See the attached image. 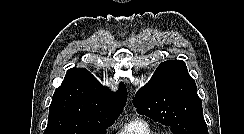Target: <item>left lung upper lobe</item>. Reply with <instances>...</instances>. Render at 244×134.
I'll use <instances>...</instances> for the list:
<instances>
[{"mask_svg":"<svg viewBox=\"0 0 244 134\" xmlns=\"http://www.w3.org/2000/svg\"><path fill=\"white\" fill-rule=\"evenodd\" d=\"M133 104L140 114L171 127L174 134H208L195 81L182 60L162 62Z\"/></svg>","mask_w":244,"mask_h":134,"instance_id":"5c2ea615","label":"left lung upper lobe"}]
</instances>
